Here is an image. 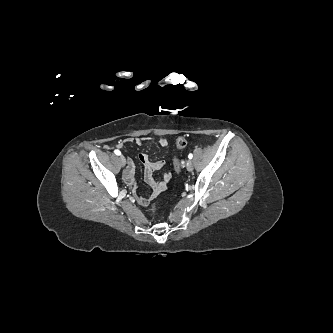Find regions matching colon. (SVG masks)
Returning <instances> with one entry per match:
<instances>
[{
	"label": "colon",
	"instance_id": "1",
	"mask_svg": "<svg viewBox=\"0 0 333 333\" xmlns=\"http://www.w3.org/2000/svg\"><path fill=\"white\" fill-rule=\"evenodd\" d=\"M187 144H188V141L184 137H180L176 141V147H177V149H183V148H185L187 146ZM174 167H175V170L177 172L181 171L182 165H181V162L177 158H174ZM152 210L153 211L156 210L155 205L152 207Z\"/></svg>",
	"mask_w": 333,
	"mask_h": 333
}]
</instances>
